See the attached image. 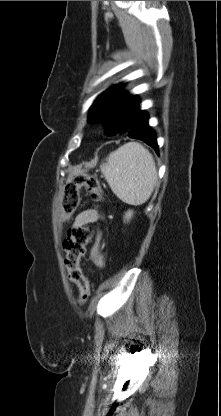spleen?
Segmentation results:
<instances>
[{"mask_svg": "<svg viewBox=\"0 0 221 416\" xmlns=\"http://www.w3.org/2000/svg\"><path fill=\"white\" fill-rule=\"evenodd\" d=\"M100 169L113 193L130 205L145 203L157 181L154 158L138 142H128L111 152Z\"/></svg>", "mask_w": 221, "mask_h": 416, "instance_id": "obj_1", "label": "spleen"}]
</instances>
